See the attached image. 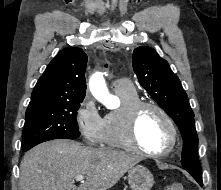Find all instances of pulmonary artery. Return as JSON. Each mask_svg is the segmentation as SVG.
Returning <instances> with one entry per match:
<instances>
[{
    "instance_id": "e3ab8cb5",
    "label": "pulmonary artery",
    "mask_w": 221,
    "mask_h": 190,
    "mask_svg": "<svg viewBox=\"0 0 221 190\" xmlns=\"http://www.w3.org/2000/svg\"><path fill=\"white\" fill-rule=\"evenodd\" d=\"M130 85H131V83L127 79H117L113 83L114 88L127 87V86H130Z\"/></svg>"
}]
</instances>
